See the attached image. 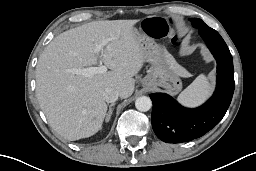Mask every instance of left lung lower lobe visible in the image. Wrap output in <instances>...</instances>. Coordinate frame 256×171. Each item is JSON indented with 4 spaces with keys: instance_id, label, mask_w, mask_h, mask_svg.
<instances>
[{
    "instance_id": "0a47b994",
    "label": "left lung lower lobe",
    "mask_w": 256,
    "mask_h": 171,
    "mask_svg": "<svg viewBox=\"0 0 256 171\" xmlns=\"http://www.w3.org/2000/svg\"><path fill=\"white\" fill-rule=\"evenodd\" d=\"M199 34L217 61V86L213 96L202 106L188 109L163 93L151 94L152 127L166 143H181L199 138L224 117L234 93V69L231 53L212 28L199 27Z\"/></svg>"
}]
</instances>
